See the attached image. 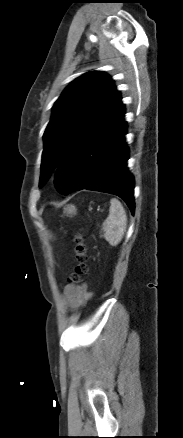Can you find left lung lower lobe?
I'll list each match as a JSON object with an SVG mask.
<instances>
[{
    "mask_svg": "<svg viewBox=\"0 0 183 438\" xmlns=\"http://www.w3.org/2000/svg\"><path fill=\"white\" fill-rule=\"evenodd\" d=\"M124 106L82 140L61 162L54 175L62 194L87 189L115 194L134 212V179L124 136Z\"/></svg>",
    "mask_w": 183,
    "mask_h": 438,
    "instance_id": "obj_1",
    "label": "left lung lower lobe"
}]
</instances>
